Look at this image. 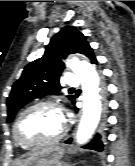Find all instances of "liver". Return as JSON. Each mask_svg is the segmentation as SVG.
<instances>
[{
    "mask_svg": "<svg viewBox=\"0 0 135 166\" xmlns=\"http://www.w3.org/2000/svg\"><path fill=\"white\" fill-rule=\"evenodd\" d=\"M27 163H28V161H27V159H25V160H22V161H18L16 163V166H26Z\"/></svg>",
    "mask_w": 135,
    "mask_h": 166,
    "instance_id": "1",
    "label": "liver"
}]
</instances>
